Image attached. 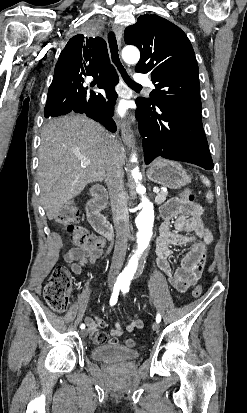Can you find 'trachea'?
I'll list each match as a JSON object with an SVG mask.
<instances>
[{
    "instance_id": "obj_1",
    "label": "trachea",
    "mask_w": 247,
    "mask_h": 413,
    "mask_svg": "<svg viewBox=\"0 0 247 413\" xmlns=\"http://www.w3.org/2000/svg\"><path fill=\"white\" fill-rule=\"evenodd\" d=\"M108 41H109V45H110V51H111V56H112V61L113 63H115V65L117 66L118 70L121 73V76L123 77V80L127 83L128 86H130V88H132L133 90H141L142 86L139 85V83L134 82V80H132L125 68L122 66L120 60H119V55H118V47H117V43H116V38L113 32H110L108 35Z\"/></svg>"
}]
</instances>
